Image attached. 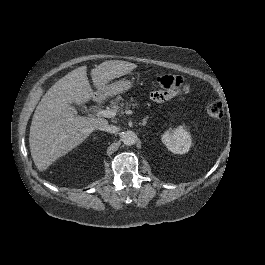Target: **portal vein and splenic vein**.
<instances>
[{"label":"portal vein and splenic vein","instance_id":"portal-vein-and-splenic-vein-1","mask_svg":"<svg viewBox=\"0 0 265 265\" xmlns=\"http://www.w3.org/2000/svg\"><path fill=\"white\" fill-rule=\"evenodd\" d=\"M116 113H117V111L113 110V109H111V110H102V111L97 112V116H103L105 118H111V117H114L116 115ZM126 114L134 116L135 112L131 111L130 109H127L126 110Z\"/></svg>","mask_w":265,"mask_h":265}]
</instances>
